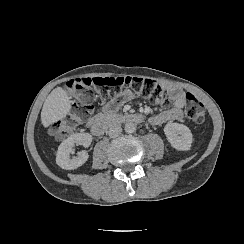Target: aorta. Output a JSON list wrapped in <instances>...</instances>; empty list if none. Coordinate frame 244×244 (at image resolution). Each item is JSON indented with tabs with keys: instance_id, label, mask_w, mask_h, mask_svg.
<instances>
[{
	"instance_id": "obj_1",
	"label": "aorta",
	"mask_w": 244,
	"mask_h": 244,
	"mask_svg": "<svg viewBox=\"0 0 244 244\" xmlns=\"http://www.w3.org/2000/svg\"><path fill=\"white\" fill-rule=\"evenodd\" d=\"M124 130L126 133L131 134L136 131V125L134 123H126L124 126Z\"/></svg>"
}]
</instances>
